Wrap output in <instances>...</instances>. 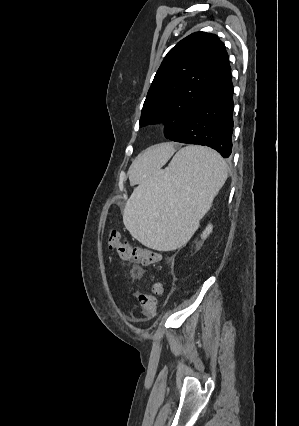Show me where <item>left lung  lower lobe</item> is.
<instances>
[{"label":"left lung lower lobe","mask_w":299,"mask_h":426,"mask_svg":"<svg viewBox=\"0 0 299 426\" xmlns=\"http://www.w3.org/2000/svg\"><path fill=\"white\" fill-rule=\"evenodd\" d=\"M232 96L230 69L218 87L194 109L172 141L209 146L228 158L232 152Z\"/></svg>","instance_id":"1"}]
</instances>
